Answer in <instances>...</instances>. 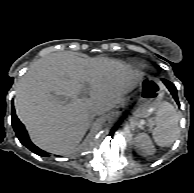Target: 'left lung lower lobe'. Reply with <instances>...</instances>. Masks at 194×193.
I'll list each match as a JSON object with an SVG mask.
<instances>
[{
	"label": "left lung lower lobe",
	"mask_w": 194,
	"mask_h": 193,
	"mask_svg": "<svg viewBox=\"0 0 194 193\" xmlns=\"http://www.w3.org/2000/svg\"><path fill=\"white\" fill-rule=\"evenodd\" d=\"M163 82L165 83L167 88L170 90V92L173 95V97L176 100V102L179 104L178 97H177V90H176V87L174 86V84L171 83L170 81L164 80V79H163Z\"/></svg>",
	"instance_id": "0a47b994"
}]
</instances>
